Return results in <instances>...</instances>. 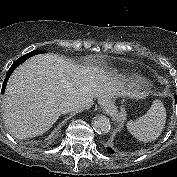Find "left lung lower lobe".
<instances>
[{
	"instance_id": "0a47b994",
	"label": "left lung lower lobe",
	"mask_w": 177,
	"mask_h": 177,
	"mask_svg": "<svg viewBox=\"0 0 177 177\" xmlns=\"http://www.w3.org/2000/svg\"><path fill=\"white\" fill-rule=\"evenodd\" d=\"M174 98H175V100H176V102H177V96H176V95L174 96ZM107 151H108L109 153H113V150H112L110 147H107Z\"/></svg>"
}]
</instances>
